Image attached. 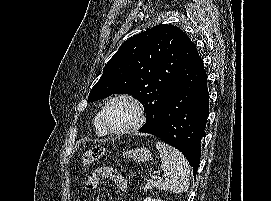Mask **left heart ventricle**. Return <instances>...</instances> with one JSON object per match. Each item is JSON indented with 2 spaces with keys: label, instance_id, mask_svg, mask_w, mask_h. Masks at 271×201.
<instances>
[{
  "label": "left heart ventricle",
  "instance_id": "b2bd125f",
  "mask_svg": "<svg viewBox=\"0 0 271 201\" xmlns=\"http://www.w3.org/2000/svg\"><path fill=\"white\" fill-rule=\"evenodd\" d=\"M106 117L113 128L125 129L135 123L137 114L134 106L130 102L119 100L108 106Z\"/></svg>",
  "mask_w": 271,
  "mask_h": 201
}]
</instances>
